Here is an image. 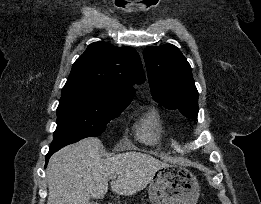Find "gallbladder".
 I'll list each match as a JSON object with an SVG mask.
<instances>
[{
  "mask_svg": "<svg viewBox=\"0 0 261 204\" xmlns=\"http://www.w3.org/2000/svg\"><path fill=\"white\" fill-rule=\"evenodd\" d=\"M89 204H97V203H94V202H90Z\"/></svg>",
  "mask_w": 261,
  "mask_h": 204,
  "instance_id": "bac80fb5",
  "label": "gallbladder"
}]
</instances>
